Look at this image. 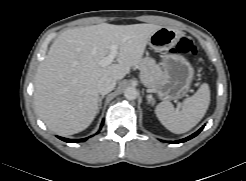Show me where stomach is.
I'll use <instances>...</instances> for the list:
<instances>
[{
    "mask_svg": "<svg viewBox=\"0 0 246 181\" xmlns=\"http://www.w3.org/2000/svg\"><path fill=\"white\" fill-rule=\"evenodd\" d=\"M181 38V32L170 28L161 27L149 39V45L162 53L161 66L163 77L153 88L158 98L164 101L177 100L184 97L190 89L195 71L190 62L180 54H170L172 48ZM153 104L154 98L147 97Z\"/></svg>",
    "mask_w": 246,
    "mask_h": 181,
    "instance_id": "stomach-1",
    "label": "stomach"
}]
</instances>
